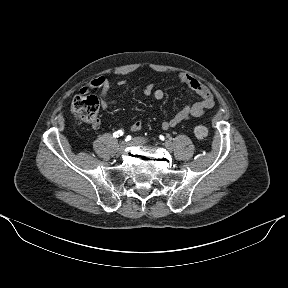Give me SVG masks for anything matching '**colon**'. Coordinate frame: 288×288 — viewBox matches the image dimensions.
<instances>
[{"label": "colon", "instance_id": "colon-1", "mask_svg": "<svg viewBox=\"0 0 288 288\" xmlns=\"http://www.w3.org/2000/svg\"><path fill=\"white\" fill-rule=\"evenodd\" d=\"M71 112L78 119L93 124L98 120V99L93 95H78L72 100ZM193 132L199 139L206 138L209 135L208 128L203 125L195 126Z\"/></svg>", "mask_w": 288, "mask_h": 288}]
</instances>
